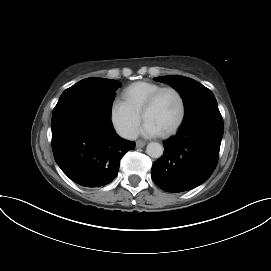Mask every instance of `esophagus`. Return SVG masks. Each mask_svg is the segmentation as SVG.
<instances>
[{"label":"esophagus","mask_w":271,"mask_h":271,"mask_svg":"<svg viewBox=\"0 0 271 271\" xmlns=\"http://www.w3.org/2000/svg\"><path fill=\"white\" fill-rule=\"evenodd\" d=\"M146 145V142L145 141H142V140H138L136 141V147L137 148H142Z\"/></svg>","instance_id":"34e87169"}]
</instances>
